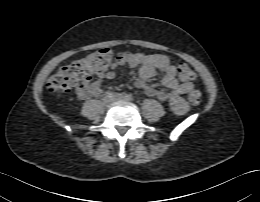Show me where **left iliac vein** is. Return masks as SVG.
<instances>
[{"instance_id":"1","label":"left iliac vein","mask_w":260,"mask_h":202,"mask_svg":"<svg viewBox=\"0 0 260 202\" xmlns=\"http://www.w3.org/2000/svg\"><path fill=\"white\" fill-rule=\"evenodd\" d=\"M113 100L114 101H128L126 95L120 94V93L115 94L114 97H113Z\"/></svg>"}]
</instances>
